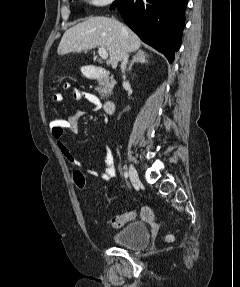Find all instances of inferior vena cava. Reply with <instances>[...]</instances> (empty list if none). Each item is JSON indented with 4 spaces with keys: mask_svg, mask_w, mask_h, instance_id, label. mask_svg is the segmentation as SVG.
I'll list each match as a JSON object with an SVG mask.
<instances>
[{
    "mask_svg": "<svg viewBox=\"0 0 240 287\" xmlns=\"http://www.w3.org/2000/svg\"><path fill=\"white\" fill-rule=\"evenodd\" d=\"M128 53H125L124 56H123V59H122V63H121V70H122V73L125 72V68H126V65H127V62H128ZM124 80H125V76H123ZM123 85H127V82H123Z\"/></svg>",
    "mask_w": 240,
    "mask_h": 287,
    "instance_id": "inferior-vena-cava-1",
    "label": "inferior vena cava"
}]
</instances>
